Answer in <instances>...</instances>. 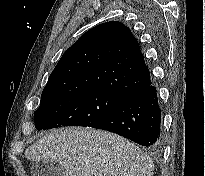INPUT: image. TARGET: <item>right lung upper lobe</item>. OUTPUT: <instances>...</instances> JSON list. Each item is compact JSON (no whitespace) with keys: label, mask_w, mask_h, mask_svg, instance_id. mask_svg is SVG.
Instances as JSON below:
<instances>
[{"label":"right lung upper lobe","mask_w":205,"mask_h":176,"mask_svg":"<svg viewBox=\"0 0 205 176\" xmlns=\"http://www.w3.org/2000/svg\"><path fill=\"white\" fill-rule=\"evenodd\" d=\"M150 83L138 41L128 27L112 21L93 27L65 51L42 96L100 89L127 97Z\"/></svg>","instance_id":"right-lung-upper-lobe-1"}]
</instances>
